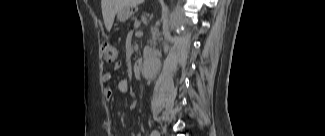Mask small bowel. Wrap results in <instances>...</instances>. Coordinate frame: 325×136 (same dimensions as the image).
Wrapping results in <instances>:
<instances>
[{
  "label": "small bowel",
  "mask_w": 325,
  "mask_h": 136,
  "mask_svg": "<svg viewBox=\"0 0 325 136\" xmlns=\"http://www.w3.org/2000/svg\"><path fill=\"white\" fill-rule=\"evenodd\" d=\"M115 68L118 69L119 65L118 64L115 65ZM111 80H112V75L110 73H105L103 75V81L107 84L106 87L104 88L103 96L107 102H111L114 98L113 90L109 86V83L111 82ZM117 88L121 93L127 94L129 92L128 81L125 78L120 79L117 83Z\"/></svg>",
  "instance_id": "c3829d8e"
}]
</instances>
